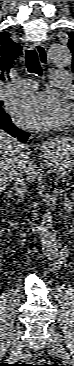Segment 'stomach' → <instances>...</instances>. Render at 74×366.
<instances>
[{
  "instance_id": "stomach-1",
  "label": "stomach",
  "mask_w": 74,
  "mask_h": 366,
  "mask_svg": "<svg viewBox=\"0 0 74 366\" xmlns=\"http://www.w3.org/2000/svg\"><path fill=\"white\" fill-rule=\"evenodd\" d=\"M60 143H61V145H65V142L64 141H61ZM55 146L58 147L59 144H56ZM67 146L69 147V145H67Z\"/></svg>"
}]
</instances>
